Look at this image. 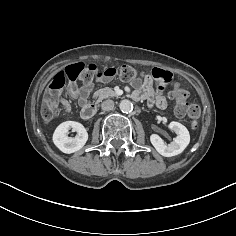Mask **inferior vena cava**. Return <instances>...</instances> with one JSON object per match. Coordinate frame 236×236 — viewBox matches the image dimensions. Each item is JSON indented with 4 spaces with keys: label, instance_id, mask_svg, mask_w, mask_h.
Returning a JSON list of instances; mask_svg holds the SVG:
<instances>
[{
    "label": "inferior vena cava",
    "instance_id": "1",
    "mask_svg": "<svg viewBox=\"0 0 236 236\" xmlns=\"http://www.w3.org/2000/svg\"><path fill=\"white\" fill-rule=\"evenodd\" d=\"M102 110L104 111H110L114 108V101L113 100H105L101 104Z\"/></svg>",
    "mask_w": 236,
    "mask_h": 236
}]
</instances>
